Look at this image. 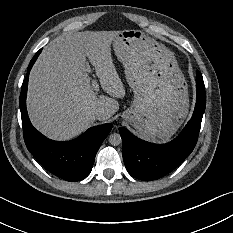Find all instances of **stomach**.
<instances>
[{"label": "stomach", "mask_w": 233, "mask_h": 233, "mask_svg": "<svg viewBox=\"0 0 233 233\" xmlns=\"http://www.w3.org/2000/svg\"><path fill=\"white\" fill-rule=\"evenodd\" d=\"M134 98L123 119L145 139L165 141L188 115V89L173 52L141 30L120 31L112 42Z\"/></svg>", "instance_id": "obj_1"}]
</instances>
